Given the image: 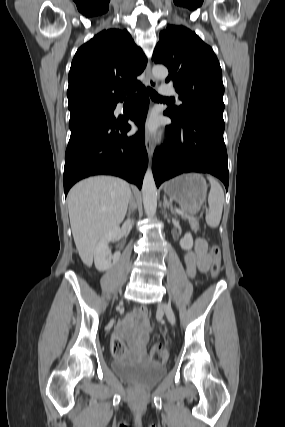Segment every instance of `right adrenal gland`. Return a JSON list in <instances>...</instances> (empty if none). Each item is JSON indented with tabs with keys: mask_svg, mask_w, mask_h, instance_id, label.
Wrapping results in <instances>:
<instances>
[{
	"mask_svg": "<svg viewBox=\"0 0 285 427\" xmlns=\"http://www.w3.org/2000/svg\"><path fill=\"white\" fill-rule=\"evenodd\" d=\"M135 209V200L134 197L131 195L130 196V210H134Z\"/></svg>",
	"mask_w": 285,
	"mask_h": 427,
	"instance_id": "obj_1",
	"label": "right adrenal gland"
}]
</instances>
